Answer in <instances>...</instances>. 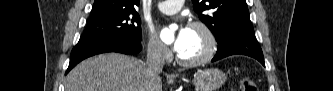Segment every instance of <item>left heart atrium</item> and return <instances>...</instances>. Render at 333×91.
<instances>
[{
    "label": "left heart atrium",
    "mask_w": 333,
    "mask_h": 91,
    "mask_svg": "<svg viewBox=\"0 0 333 91\" xmlns=\"http://www.w3.org/2000/svg\"><path fill=\"white\" fill-rule=\"evenodd\" d=\"M189 28L186 26L181 25L178 30L176 31L174 42H173V49L180 53L185 45L187 35H188Z\"/></svg>",
    "instance_id": "left-heart-atrium-1"
}]
</instances>
